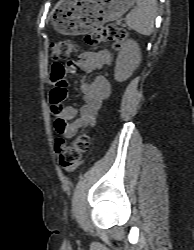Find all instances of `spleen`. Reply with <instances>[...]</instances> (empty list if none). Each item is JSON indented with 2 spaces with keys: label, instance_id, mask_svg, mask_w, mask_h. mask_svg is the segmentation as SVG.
I'll list each match as a JSON object with an SVG mask.
<instances>
[{
  "label": "spleen",
  "instance_id": "3e777b00",
  "mask_svg": "<svg viewBox=\"0 0 194 250\" xmlns=\"http://www.w3.org/2000/svg\"><path fill=\"white\" fill-rule=\"evenodd\" d=\"M135 7L125 18L126 24L142 35H150L154 28L157 0H136Z\"/></svg>",
  "mask_w": 194,
  "mask_h": 250
}]
</instances>
